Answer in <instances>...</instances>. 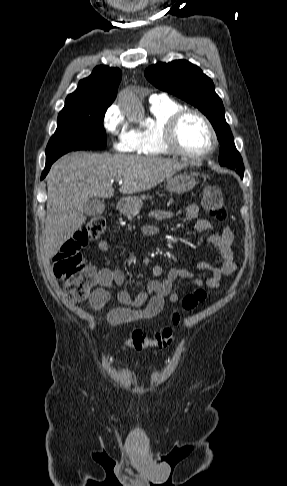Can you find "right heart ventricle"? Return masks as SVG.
<instances>
[{"label":"right heart ventricle","instance_id":"1","mask_svg":"<svg viewBox=\"0 0 287 486\" xmlns=\"http://www.w3.org/2000/svg\"><path fill=\"white\" fill-rule=\"evenodd\" d=\"M181 109L182 106L179 103L169 98L151 101L150 112L153 117V123L133 131L135 139L134 152L149 157L170 155L171 153L162 142V129L166 121Z\"/></svg>","mask_w":287,"mask_h":486}]
</instances>
